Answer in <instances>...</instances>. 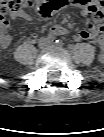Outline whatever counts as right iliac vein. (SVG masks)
I'll use <instances>...</instances> for the list:
<instances>
[{"label":"right iliac vein","mask_w":104,"mask_h":137,"mask_svg":"<svg viewBox=\"0 0 104 137\" xmlns=\"http://www.w3.org/2000/svg\"><path fill=\"white\" fill-rule=\"evenodd\" d=\"M48 42L44 39L40 40L39 42V47L40 48H45L47 46Z\"/></svg>","instance_id":"obj_1"}]
</instances>
